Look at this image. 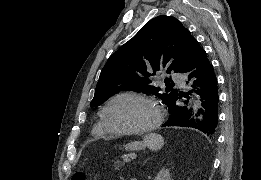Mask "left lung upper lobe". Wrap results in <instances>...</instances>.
I'll return each mask as SVG.
<instances>
[{
	"label": "left lung upper lobe",
	"instance_id": "1",
	"mask_svg": "<svg viewBox=\"0 0 261 180\" xmlns=\"http://www.w3.org/2000/svg\"><path fill=\"white\" fill-rule=\"evenodd\" d=\"M197 44L176 18L155 17L109 58L101 71L90 106H99L118 91L151 93L169 105L177 94L174 83L167 78L166 91L160 93L158 88L150 85V76L166 66H169L167 73H181Z\"/></svg>",
	"mask_w": 261,
	"mask_h": 180
}]
</instances>
